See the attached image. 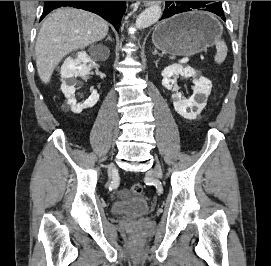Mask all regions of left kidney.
Wrapping results in <instances>:
<instances>
[{
    "instance_id": "left-kidney-1",
    "label": "left kidney",
    "mask_w": 271,
    "mask_h": 266,
    "mask_svg": "<svg viewBox=\"0 0 271 266\" xmlns=\"http://www.w3.org/2000/svg\"><path fill=\"white\" fill-rule=\"evenodd\" d=\"M162 85L167 89H172L175 84L173 76L181 75L184 77H196V72L191 67H184L182 65L173 64L166 67L161 73ZM193 95L189 99H182L180 93L172 94L173 106L176 112L182 117L193 120L206 106L207 97L210 94L212 85L211 82L204 78L199 77L193 80ZM203 96L204 101L200 102L199 98Z\"/></svg>"
}]
</instances>
